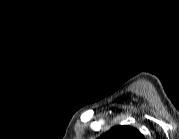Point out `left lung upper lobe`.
Returning <instances> with one entry per match:
<instances>
[{
  "instance_id": "obj_1",
  "label": "left lung upper lobe",
  "mask_w": 179,
  "mask_h": 139,
  "mask_svg": "<svg viewBox=\"0 0 179 139\" xmlns=\"http://www.w3.org/2000/svg\"><path fill=\"white\" fill-rule=\"evenodd\" d=\"M104 139H143L142 134L130 126H115L103 136Z\"/></svg>"
}]
</instances>
